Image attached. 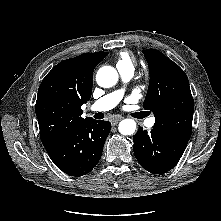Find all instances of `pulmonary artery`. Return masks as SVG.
<instances>
[{
    "mask_svg": "<svg viewBox=\"0 0 221 221\" xmlns=\"http://www.w3.org/2000/svg\"><path fill=\"white\" fill-rule=\"evenodd\" d=\"M121 78L124 81H129L133 75H134V70H121L119 71ZM123 97V90H116L114 92H111L105 96H103L101 99H99L98 101H96L92 107L91 110L92 111H108L110 109H112L113 107H115L120 100ZM155 123V118H149L146 120V125L147 127H152Z\"/></svg>",
    "mask_w": 221,
    "mask_h": 221,
    "instance_id": "1",
    "label": "pulmonary artery"
}]
</instances>
